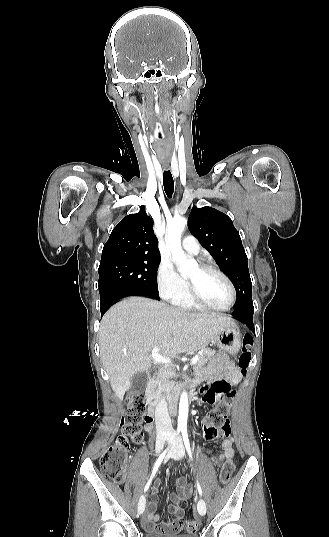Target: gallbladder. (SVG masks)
<instances>
[{"instance_id": "bac80fb5", "label": "gallbladder", "mask_w": 329, "mask_h": 537, "mask_svg": "<svg viewBox=\"0 0 329 537\" xmlns=\"http://www.w3.org/2000/svg\"><path fill=\"white\" fill-rule=\"evenodd\" d=\"M148 383V376L146 371H140L132 377L131 387L128 390L130 394L143 393Z\"/></svg>"}]
</instances>
